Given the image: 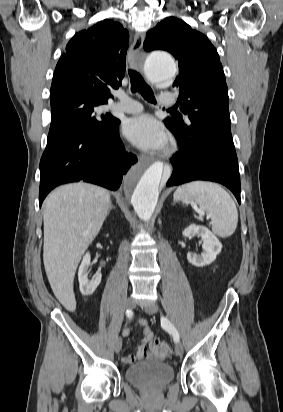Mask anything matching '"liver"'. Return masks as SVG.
I'll return each mask as SVG.
<instances>
[{
	"instance_id": "obj_1",
	"label": "liver",
	"mask_w": 283,
	"mask_h": 412,
	"mask_svg": "<svg viewBox=\"0 0 283 412\" xmlns=\"http://www.w3.org/2000/svg\"><path fill=\"white\" fill-rule=\"evenodd\" d=\"M110 203L106 189L83 182L58 187L44 202V267L54 295L69 311L76 308V269L98 235Z\"/></svg>"
}]
</instances>
